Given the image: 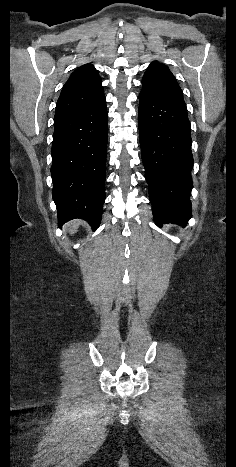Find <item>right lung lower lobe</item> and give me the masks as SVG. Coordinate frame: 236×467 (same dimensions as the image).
I'll return each instance as SVG.
<instances>
[{"label":"right lung lower lobe","instance_id":"98d812e1","mask_svg":"<svg viewBox=\"0 0 236 467\" xmlns=\"http://www.w3.org/2000/svg\"><path fill=\"white\" fill-rule=\"evenodd\" d=\"M52 197L58 224L82 218L96 230L105 200L107 109L105 97L89 109L54 123Z\"/></svg>","mask_w":236,"mask_h":467}]
</instances>
